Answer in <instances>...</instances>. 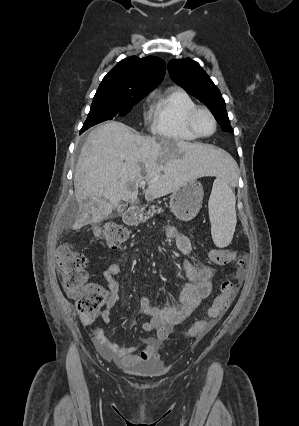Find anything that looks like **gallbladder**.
Returning <instances> with one entry per match:
<instances>
[{
	"label": "gallbladder",
	"mask_w": 299,
	"mask_h": 426,
	"mask_svg": "<svg viewBox=\"0 0 299 426\" xmlns=\"http://www.w3.org/2000/svg\"><path fill=\"white\" fill-rule=\"evenodd\" d=\"M125 205H120L117 209V212L120 213L124 210ZM116 214H112L111 217H114Z\"/></svg>",
	"instance_id": "gallbladder-1"
}]
</instances>
